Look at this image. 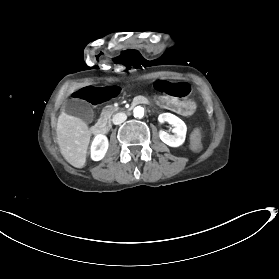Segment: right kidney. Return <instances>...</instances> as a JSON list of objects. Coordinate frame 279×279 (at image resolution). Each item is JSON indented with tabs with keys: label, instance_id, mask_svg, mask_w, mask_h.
Masks as SVG:
<instances>
[{
	"label": "right kidney",
	"instance_id": "right-kidney-1",
	"mask_svg": "<svg viewBox=\"0 0 279 279\" xmlns=\"http://www.w3.org/2000/svg\"><path fill=\"white\" fill-rule=\"evenodd\" d=\"M108 149V139L105 135H97L91 145V158L92 160H101Z\"/></svg>",
	"mask_w": 279,
	"mask_h": 279
}]
</instances>
